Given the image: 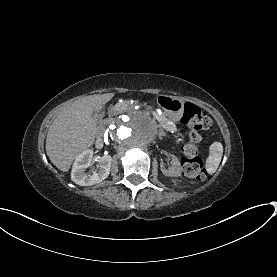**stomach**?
I'll return each mask as SVG.
<instances>
[{
  "label": "stomach",
  "mask_w": 277,
  "mask_h": 277,
  "mask_svg": "<svg viewBox=\"0 0 277 277\" xmlns=\"http://www.w3.org/2000/svg\"><path fill=\"white\" fill-rule=\"evenodd\" d=\"M157 103L164 110L168 119L173 122L179 121L184 112L185 103L177 97L161 95L158 97Z\"/></svg>",
  "instance_id": "obj_1"
}]
</instances>
